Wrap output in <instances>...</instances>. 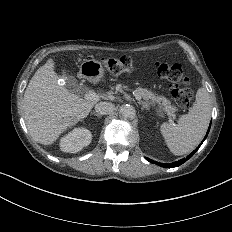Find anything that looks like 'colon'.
I'll return each mask as SVG.
<instances>
[{
	"mask_svg": "<svg viewBox=\"0 0 232 232\" xmlns=\"http://www.w3.org/2000/svg\"><path fill=\"white\" fill-rule=\"evenodd\" d=\"M107 65L105 70L110 73H131L133 69L132 59L128 55L106 56ZM154 74L158 78H165L167 82H172L175 89L173 102L175 111L186 112L190 110L191 94L195 91V86H191L187 75L183 74V68L179 64H171L168 67L163 62H158L154 66Z\"/></svg>",
	"mask_w": 232,
	"mask_h": 232,
	"instance_id": "1",
	"label": "colon"
}]
</instances>
